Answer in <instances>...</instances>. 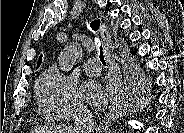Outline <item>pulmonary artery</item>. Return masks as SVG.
<instances>
[{"label": "pulmonary artery", "instance_id": "e3ab8cb5", "mask_svg": "<svg viewBox=\"0 0 184 133\" xmlns=\"http://www.w3.org/2000/svg\"><path fill=\"white\" fill-rule=\"evenodd\" d=\"M83 70L90 76H97L100 74L101 68L96 58H89L84 62Z\"/></svg>", "mask_w": 184, "mask_h": 133}]
</instances>
